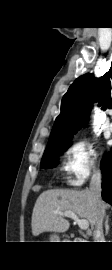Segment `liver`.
<instances>
[{
  "mask_svg": "<svg viewBox=\"0 0 112 270\" xmlns=\"http://www.w3.org/2000/svg\"><path fill=\"white\" fill-rule=\"evenodd\" d=\"M102 207L108 204L101 201ZM72 211L78 217L86 219L93 229L97 220V204L90 190L56 189L42 192L37 198L31 219V229L34 236L50 231L65 232L70 223L63 213Z\"/></svg>",
  "mask_w": 112,
  "mask_h": 270,
  "instance_id": "liver-1",
  "label": "liver"
}]
</instances>
